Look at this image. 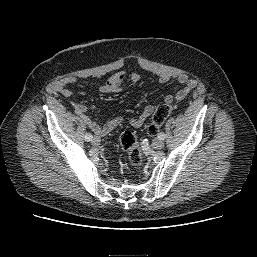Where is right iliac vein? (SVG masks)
<instances>
[{
    "label": "right iliac vein",
    "instance_id": "63e3f726",
    "mask_svg": "<svg viewBox=\"0 0 257 257\" xmlns=\"http://www.w3.org/2000/svg\"><path fill=\"white\" fill-rule=\"evenodd\" d=\"M100 142H101V140H100V138L97 137V136H95V137L92 139V141H91V143H92L93 145H95V146L99 145Z\"/></svg>",
    "mask_w": 257,
    "mask_h": 257
}]
</instances>
